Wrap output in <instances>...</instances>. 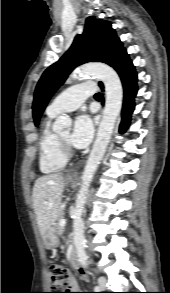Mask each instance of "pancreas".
Instances as JSON below:
<instances>
[{"instance_id": "obj_1", "label": "pancreas", "mask_w": 170, "mask_h": 293, "mask_svg": "<svg viewBox=\"0 0 170 293\" xmlns=\"http://www.w3.org/2000/svg\"><path fill=\"white\" fill-rule=\"evenodd\" d=\"M63 218H64V213L62 210H60L55 220V223L53 224V227H52L53 231L57 234H61L63 232V228L59 225L60 220Z\"/></svg>"}]
</instances>
